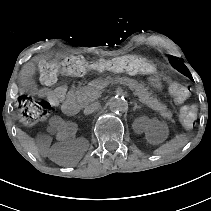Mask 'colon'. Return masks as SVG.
<instances>
[{"mask_svg":"<svg viewBox=\"0 0 211 211\" xmlns=\"http://www.w3.org/2000/svg\"><path fill=\"white\" fill-rule=\"evenodd\" d=\"M88 71L135 74H153L157 65L151 59L137 55H125L111 59L87 61L79 56L61 60L47 61L40 66V80L45 85H52L61 75L80 76ZM171 93L177 102L183 103L190 96V89L180 84L171 85ZM18 120L24 126H33L46 119L51 112V105L46 99H36L31 95H21L17 102ZM179 118L182 124L191 128L197 120V109L188 105L181 108Z\"/></svg>","mask_w":211,"mask_h":211,"instance_id":"5ec220e1","label":"colon"}]
</instances>
